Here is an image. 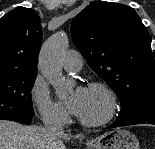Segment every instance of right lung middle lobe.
<instances>
[{
	"mask_svg": "<svg viewBox=\"0 0 155 149\" xmlns=\"http://www.w3.org/2000/svg\"><path fill=\"white\" fill-rule=\"evenodd\" d=\"M37 71L0 72V119L29 123L34 115L31 89Z\"/></svg>",
	"mask_w": 155,
	"mask_h": 149,
	"instance_id": "obj_1",
	"label": "right lung middle lobe"
}]
</instances>
